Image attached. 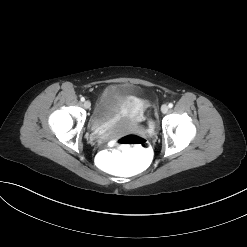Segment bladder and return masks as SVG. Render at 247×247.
Here are the masks:
<instances>
[{
    "mask_svg": "<svg viewBox=\"0 0 247 247\" xmlns=\"http://www.w3.org/2000/svg\"><path fill=\"white\" fill-rule=\"evenodd\" d=\"M147 103L126 88L113 87L101 97L92 117V123L98 127L112 125L125 120L136 124L145 118Z\"/></svg>",
    "mask_w": 247,
    "mask_h": 247,
    "instance_id": "31cf9c89",
    "label": "bladder"
}]
</instances>
